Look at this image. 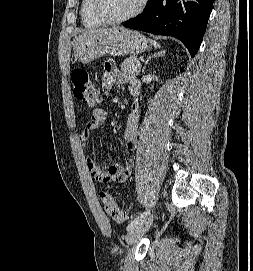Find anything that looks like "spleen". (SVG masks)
<instances>
[{
    "label": "spleen",
    "mask_w": 253,
    "mask_h": 271,
    "mask_svg": "<svg viewBox=\"0 0 253 271\" xmlns=\"http://www.w3.org/2000/svg\"><path fill=\"white\" fill-rule=\"evenodd\" d=\"M150 42L154 45L155 48L160 47V45L156 41L150 40Z\"/></svg>",
    "instance_id": "obj_1"
}]
</instances>
